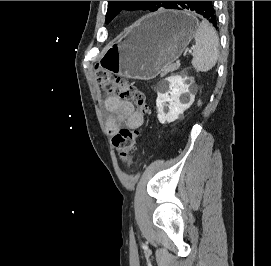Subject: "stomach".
I'll use <instances>...</instances> for the list:
<instances>
[{
  "label": "stomach",
  "instance_id": "obj_1",
  "mask_svg": "<svg viewBox=\"0 0 271 266\" xmlns=\"http://www.w3.org/2000/svg\"><path fill=\"white\" fill-rule=\"evenodd\" d=\"M197 27L188 11L161 10L145 16L106 47L100 65L126 78L153 79L179 58Z\"/></svg>",
  "mask_w": 271,
  "mask_h": 266
}]
</instances>
